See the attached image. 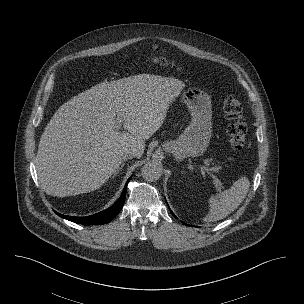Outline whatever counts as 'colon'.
Segmentation results:
<instances>
[{"mask_svg":"<svg viewBox=\"0 0 304 304\" xmlns=\"http://www.w3.org/2000/svg\"><path fill=\"white\" fill-rule=\"evenodd\" d=\"M151 61L164 66H175L174 61L158 47L152 49ZM223 112L229 121L227 135L230 146L240 151L245 147L247 140V126L243 118L242 104L235 96H228L223 103Z\"/></svg>","mask_w":304,"mask_h":304,"instance_id":"colon-1","label":"colon"}]
</instances>
